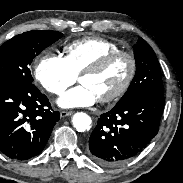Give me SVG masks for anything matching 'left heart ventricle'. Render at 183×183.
I'll use <instances>...</instances> for the list:
<instances>
[{"instance_id": "left-heart-ventricle-1", "label": "left heart ventricle", "mask_w": 183, "mask_h": 183, "mask_svg": "<svg viewBox=\"0 0 183 183\" xmlns=\"http://www.w3.org/2000/svg\"><path fill=\"white\" fill-rule=\"evenodd\" d=\"M129 62L125 57L114 60L106 69L80 78V83L89 87L97 98L105 97L117 90L129 72Z\"/></svg>"}]
</instances>
